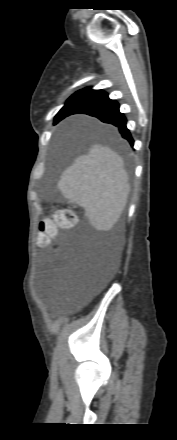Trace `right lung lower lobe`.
<instances>
[{
    "label": "right lung lower lobe",
    "mask_w": 177,
    "mask_h": 440,
    "mask_svg": "<svg viewBox=\"0 0 177 440\" xmlns=\"http://www.w3.org/2000/svg\"><path fill=\"white\" fill-rule=\"evenodd\" d=\"M76 113H84L90 116H94L104 123L112 124L118 127L120 134L123 138L129 141L133 146L134 141L131 137L129 130L126 127V118L119 111V104L109 98H105L98 102L92 103Z\"/></svg>",
    "instance_id": "1"
}]
</instances>
